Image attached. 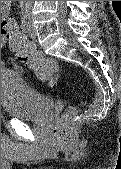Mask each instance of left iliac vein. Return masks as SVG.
<instances>
[{"label": "left iliac vein", "mask_w": 121, "mask_h": 169, "mask_svg": "<svg viewBox=\"0 0 121 169\" xmlns=\"http://www.w3.org/2000/svg\"><path fill=\"white\" fill-rule=\"evenodd\" d=\"M25 31L29 35V37H31V38L37 37V31H36L35 27L33 26L30 18L28 19V25H27Z\"/></svg>", "instance_id": "obj_1"}]
</instances>
